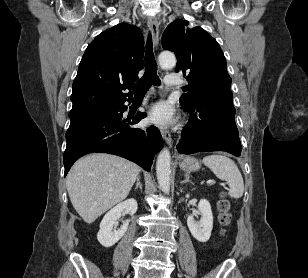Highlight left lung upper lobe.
Masks as SVG:
<instances>
[{
    "label": "left lung upper lobe",
    "instance_id": "left-lung-upper-lobe-1",
    "mask_svg": "<svg viewBox=\"0 0 308 278\" xmlns=\"http://www.w3.org/2000/svg\"><path fill=\"white\" fill-rule=\"evenodd\" d=\"M162 46L175 53V71L187 74L188 93L179 100L182 107H191L208 94L230 90L232 80L225 56L216 40L201 27L189 28L188 21L177 19L164 31Z\"/></svg>",
    "mask_w": 308,
    "mask_h": 278
}]
</instances>
